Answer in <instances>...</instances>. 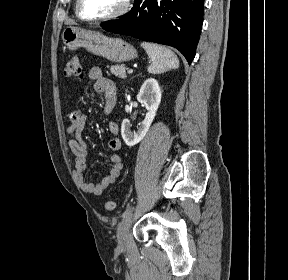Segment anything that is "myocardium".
I'll list each match as a JSON object with an SVG mask.
<instances>
[{"mask_svg":"<svg viewBox=\"0 0 288 280\" xmlns=\"http://www.w3.org/2000/svg\"><path fill=\"white\" fill-rule=\"evenodd\" d=\"M81 2L82 0H76L75 10H76L77 16L83 21L91 22V23H98V22L112 21L127 14V12L130 10L132 0H124L123 5L121 6L120 9H118L112 14L98 17V18H89V17L84 16L81 11Z\"/></svg>","mask_w":288,"mask_h":280,"instance_id":"myocardium-1","label":"myocardium"}]
</instances>
